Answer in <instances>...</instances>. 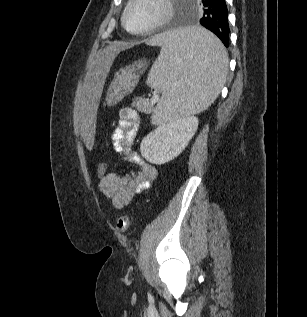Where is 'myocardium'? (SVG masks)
<instances>
[{"mask_svg":"<svg viewBox=\"0 0 307 317\" xmlns=\"http://www.w3.org/2000/svg\"><path fill=\"white\" fill-rule=\"evenodd\" d=\"M136 1L137 0H128L127 4L124 7V10L122 12V16H121V24H122L123 28L130 34L144 35V34H148L150 32H153V31L157 30L158 28L162 27L164 24H166L170 20L172 14H173L172 0H161V3L163 4L164 10H163L161 16L154 23H152L151 25H149L146 28H143L141 30H137V31L130 30L126 24V17H127L129 9Z\"/></svg>","mask_w":307,"mask_h":317,"instance_id":"f54148a6","label":"myocardium"}]
</instances>
